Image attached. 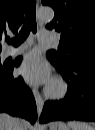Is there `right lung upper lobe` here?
I'll return each instance as SVG.
<instances>
[{"label":"right lung upper lobe","mask_w":95,"mask_h":130,"mask_svg":"<svg viewBox=\"0 0 95 130\" xmlns=\"http://www.w3.org/2000/svg\"><path fill=\"white\" fill-rule=\"evenodd\" d=\"M27 0H0V41L7 31L16 33L23 22ZM0 45V51H1Z\"/></svg>","instance_id":"1"}]
</instances>
